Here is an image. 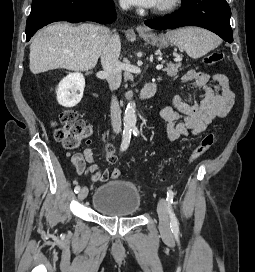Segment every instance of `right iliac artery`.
<instances>
[{
    "instance_id": "right-iliac-artery-1",
    "label": "right iliac artery",
    "mask_w": 255,
    "mask_h": 272,
    "mask_svg": "<svg viewBox=\"0 0 255 272\" xmlns=\"http://www.w3.org/2000/svg\"><path fill=\"white\" fill-rule=\"evenodd\" d=\"M131 131L132 130L130 128L124 129V131H123V140H122L121 147H120L121 151H125L128 148L129 143H130V139H131ZM79 191H80V186L77 185L74 188V192L78 193Z\"/></svg>"
}]
</instances>
